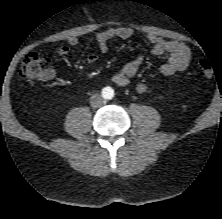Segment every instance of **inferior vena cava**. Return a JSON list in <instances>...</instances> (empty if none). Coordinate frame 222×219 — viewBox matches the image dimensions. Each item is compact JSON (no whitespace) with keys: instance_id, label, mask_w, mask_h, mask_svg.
<instances>
[{"instance_id":"1","label":"inferior vena cava","mask_w":222,"mask_h":219,"mask_svg":"<svg viewBox=\"0 0 222 219\" xmlns=\"http://www.w3.org/2000/svg\"><path fill=\"white\" fill-rule=\"evenodd\" d=\"M90 104L95 108L101 107L103 104V98L99 94H93L90 98Z\"/></svg>"}]
</instances>
